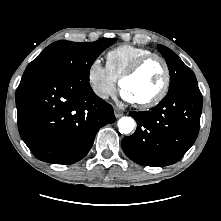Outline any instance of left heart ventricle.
<instances>
[{
  "label": "left heart ventricle",
  "mask_w": 221,
  "mask_h": 221,
  "mask_svg": "<svg viewBox=\"0 0 221 221\" xmlns=\"http://www.w3.org/2000/svg\"><path fill=\"white\" fill-rule=\"evenodd\" d=\"M164 81V69L158 60L147 62L133 77L123 83V89L134 102H142L152 98L161 88Z\"/></svg>",
  "instance_id": "1"
}]
</instances>
